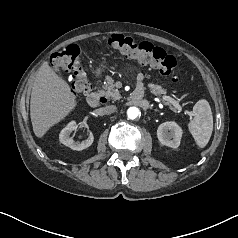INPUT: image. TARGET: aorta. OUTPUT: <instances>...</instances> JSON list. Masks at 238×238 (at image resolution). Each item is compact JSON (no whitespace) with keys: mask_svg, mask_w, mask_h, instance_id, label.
Wrapping results in <instances>:
<instances>
[{"mask_svg":"<svg viewBox=\"0 0 238 238\" xmlns=\"http://www.w3.org/2000/svg\"><path fill=\"white\" fill-rule=\"evenodd\" d=\"M140 114V111L137 107H129L128 110H127V117L129 119H135L138 117V115Z\"/></svg>","mask_w":238,"mask_h":238,"instance_id":"obj_1","label":"aorta"}]
</instances>
